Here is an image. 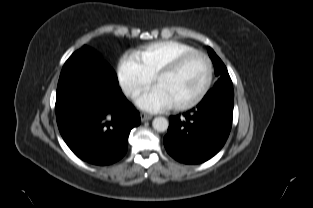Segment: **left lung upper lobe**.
Segmentation results:
<instances>
[{"label":"left lung upper lobe","instance_id":"5c2ea615","mask_svg":"<svg viewBox=\"0 0 313 208\" xmlns=\"http://www.w3.org/2000/svg\"><path fill=\"white\" fill-rule=\"evenodd\" d=\"M208 53L214 64L215 75L219 78L218 81L215 83L214 87L232 86L231 78L228 74V71L224 63L221 61V59L215 54V52L210 47H208Z\"/></svg>","mask_w":313,"mask_h":208}]
</instances>
